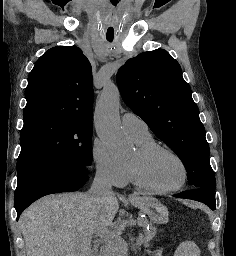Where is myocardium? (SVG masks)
Listing matches in <instances>:
<instances>
[{"instance_id": "myocardium-1", "label": "myocardium", "mask_w": 236, "mask_h": 256, "mask_svg": "<svg viewBox=\"0 0 236 256\" xmlns=\"http://www.w3.org/2000/svg\"><path fill=\"white\" fill-rule=\"evenodd\" d=\"M168 153L174 156L182 165L183 168V178L182 181L173 187H159L151 183L146 174V163L148 160L159 153ZM137 157L135 161L129 162V166L134 178L135 183L144 190L154 192V193H170L181 189L187 182L189 177L188 166L185 160L171 148L154 144L146 147H139L136 151Z\"/></svg>"}]
</instances>
